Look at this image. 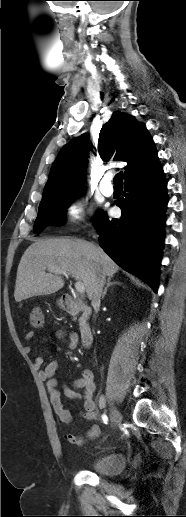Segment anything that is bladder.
<instances>
[{
    "label": "bladder",
    "mask_w": 186,
    "mask_h": 517,
    "mask_svg": "<svg viewBox=\"0 0 186 517\" xmlns=\"http://www.w3.org/2000/svg\"><path fill=\"white\" fill-rule=\"evenodd\" d=\"M127 464V458L123 453H114L95 459L91 463V470L101 475H117L121 473Z\"/></svg>",
    "instance_id": "31cf9c89"
}]
</instances>
